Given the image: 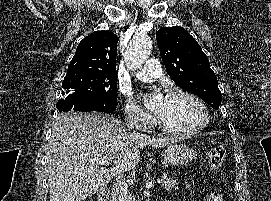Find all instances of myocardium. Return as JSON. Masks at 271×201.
Instances as JSON below:
<instances>
[{"label": "myocardium", "mask_w": 271, "mask_h": 201, "mask_svg": "<svg viewBox=\"0 0 271 201\" xmlns=\"http://www.w3.org/2000/svg\"><path fill=\"white\" fill-rule=\"evenodd\" d=\"M176 96H182L189 98L193 100L201 109L203 114V120L202 122L197 125L196 127L187 130V131H176L169 127H167L158 117L156 118V123L159 129L166 135L174 136V137H190L201 130H203L205 127L208 126L210 122V113L208 110V107L206 103L196 94L183 90V89H172L166 94V98H172Z\"/></svg>", "instance_id": "1"}]
</instances>
